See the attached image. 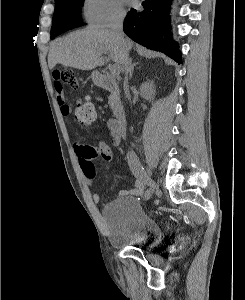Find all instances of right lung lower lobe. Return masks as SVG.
I'll return each mask as SVG.
<instances>
[{"mask_svg":"<svg viewBox=\"0 0 245 300\" xmlns=\"http://www.w3.org/2000/svg\"><path fill=\"white\" fill-rule=\"evenodd\" d=\"M171 0H145L143 9H131L128 12L123 29L135 42L156 51H161L173 58L177 63H182L178 43L171 40L169 30L170 16L168 9ZM82 25V22H68L60 25L59 33Z\"/></svg>","mask_w":245,"mask_h":300,"instance_id":"obj_1","label":"right lung lower lobe"}]
</instances>
